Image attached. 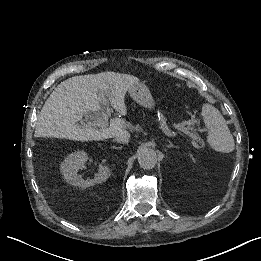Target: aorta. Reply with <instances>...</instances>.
<instances>
[{
    "instance_id": "762f6f07",
    "label": "aorta",
    "mask_w": 261,
    "mask_h": 261,
    "mask_svg": "<svg viewBox=\"0 0 261 261\" xmlns=\"http://www.w3.org/2000/svg\"><path fill=\"white\" fill-rule=\"evenodd\" d=\"M138 163L141 168L150 170L157 163V155L153 149L144 148L138 154Z\"/></svg>"
}]
</instances>
